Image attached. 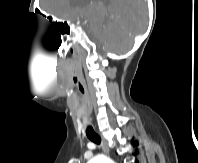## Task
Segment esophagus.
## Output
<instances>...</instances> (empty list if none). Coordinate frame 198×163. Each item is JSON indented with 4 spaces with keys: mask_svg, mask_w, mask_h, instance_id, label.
<instances>
[{
    "mask_svg": "<svg viewBox=\"0 0 198 163\" xmlns=\"http://www.w3.org/2000/svg\"><path fill=\"white\" fill-rule=\"evenodd\" d=\"M102 138V142H101V146H102V150L106 153L109 154V147L107 142L105 141V139L103 137Z\"/></svg>",
    "mask_w": 198,
    "mask_h": 163,
    "instance_id": "34e87169",
    "label": "esophagus"
}]
</instances>
